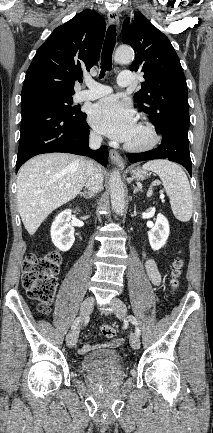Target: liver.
I'll return each mask as SVG.
<instances>
[{
    "label": "liver",
    "mask_w": 213,
    "mask_h": 433,
    "mask_svg": "<svg viewBox=\"0 0 213 433\" xmlns=\"http://www.w3.org/2000/svg\"><path fill=\"white\" fill-rule=\"evenodd\" d=\"M87 163L88 160L72 154L48 153L30 159L20 168L17 205L30 235L52 211L80 193L86 180Z\"/></svg>",
    "instance_id": "obj_1"
}]
</instances>
